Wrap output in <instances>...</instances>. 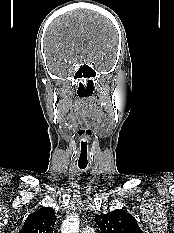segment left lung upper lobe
Here are the masks:
<instances>
[{
  "mask_svg": "<svg viewBox=\"0 0 174 233\" xmlns=\"http://www.w3.org/2000/svg\"><path fill=\"white\" fill-rule=\"evenodd\" d=\"M95 221L102 233H143L135 218L123 210L96 215Z\"/></svg>",
  "mask_w": 174,
  "mask_h": 233,
  "instance_id": "5c2ea615",
  "label": "left lung upper lobe"
}]
</instances>
